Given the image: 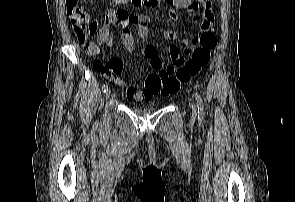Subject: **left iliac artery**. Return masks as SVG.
Masks as SVG:
<instances>
[{"mask_svg": "<svg viewBox=\"0 0 295 202\" xmlns=\"http://www.w3.org/2000/svg\"><path fill=\"white\" fill-rule=\"evenodd\" d=\"M195 100L197 102V111H198V118L203 119L204 117V106L201 96L196 92L195 93Z\"/></svg>", "mask_w": 295, "mask_h": 202, "instance_id": "left-iliac-artery-1", "label": "left iliac artery"}]
</instances>
